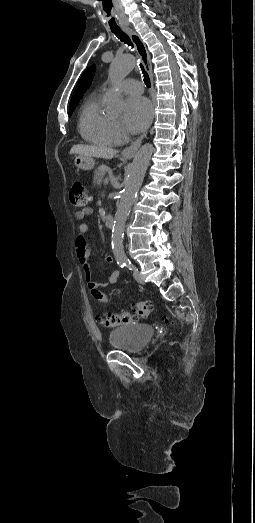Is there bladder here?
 <instances>
[{
  "label": "bladder",
  "mask_w": 255,
  "mask_h": 523,
  "mask_svg": "<svg viewBox=\"0 0 255 523\" xmlns=\"http://www.w3.org/2000/svg\"><path fill=\"white\" fill-rule=\"evenodd\" d=\"M154 330L146 324H125L109 335V345L127 352H139L149 342Z\"/></svg>",
  "instance_id": "31cf9c89"
}]
</instances>
